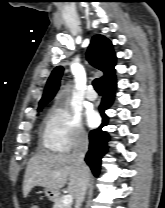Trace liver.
<instances>
[{
    "instance_id": "obj_1",
    "label": "liver",
    "mask_w": 165,
    "mask_h": 208,
    "mask_svg": "<svg viewBox=\"0 0 165 208\" xmlns=\"http://www.w3.org/2000/svg\"><path fill=\"white\" fill-rule=\"evenodd\" d=\"M68 180V192L74 199H77L82 182L71 155L40 152L33 156L27 164L23 181V195L27 197L35 186L45 187L59 193Z\"/></svg>"
}]
</instances>
